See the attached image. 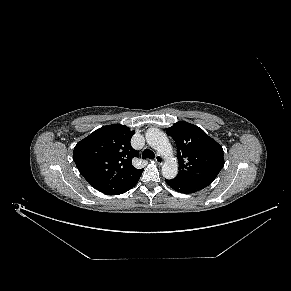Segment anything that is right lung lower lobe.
I'll use <instances>...</instances> for the list:
<instances>
[{
    "instance_id": "obj_1",
    "label": "right lung lower lobe",
    "mask_w": 291,
    "mask_h": 291,
    "mask_svg": "<svg viewBox=\"0 0 291 291\" xmlns=\"http://www.w3.org/2000/svg\"><path fill=\"white\" fill-rule=\"evenodd\" d=\"M137 182H138V181H137ZM137 182H136V183H137ZM136 183H135L133 186H135V185H136ZM133 186H132V187H133ZM132 187H130V188H132ZM130 188H129V189H130ZM129 189H128V190H129ZM128 190H127V191H128ZM125 192H126V191H125Z\"/></svg>"
}]
</instances>
